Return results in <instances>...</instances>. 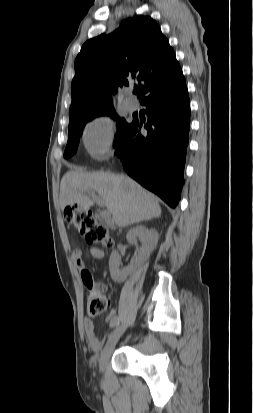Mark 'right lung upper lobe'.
I'll return each mask as SVG.
<instances>
[{
	"mask_svg": "<svg viewBox=\"0 0 253 413\" xmlns=\"http://www.w3.org/2000/svg\"><path fill=\"white\" fill-rule=\"evenodd\" d=\"M133 81L141 103L186 85L173 49L149 16L129 18L112 34L84 43L75 60L69 119L113 106L111 93Z\"/></svg>",
	"mask_w": 253,
	"mask_h": 413,
	"instance_id": "1",
	"label": "right lung upper lobe"
}]
</instances>
